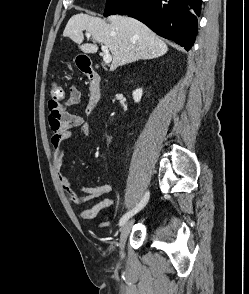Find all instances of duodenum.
<instances>
[{"label": "duodenum", "instance_id": "1", "mask_svg": "<svg viewBox=\"0 0 249 294\" xmlns=\"http://www.w3.org/2000/svg\"><path fill=\"white\" fill-rule=\"evenodd\" d=\"M81 69L87 75L89 80L86 112L91 114L97 108L102 99L100 87L101 78L99 72L92 67L89 61H86Z\"/></svg>", "mask_w": 249, "mask_h": 294}]
</instances>
